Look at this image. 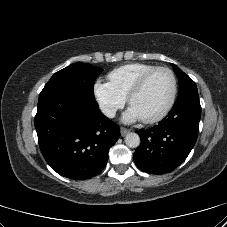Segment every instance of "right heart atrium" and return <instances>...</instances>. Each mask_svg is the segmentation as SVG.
Segmentation results:
<instances>
[{
	"mask_svg": "<svg viewBox=\"0 0 227 227\" xmlns=\"http://www.w3.org/2000/svg\"><path fill=\"white\" fill-rule=\"evenodd\" d=\"M93 93L101 111L107 117H113L125 104V98L117 93L108 82L96 81Z\"/></svg>",
	"mask_w": 227,
	"mask_h": 227,
	"instance_id": "obj_1",
	"label": "right heart atrium"
}]
</instances>
